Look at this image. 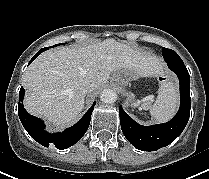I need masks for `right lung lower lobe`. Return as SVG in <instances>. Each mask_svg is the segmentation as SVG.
I'll use <instances>...</instances> for the list:
<instances>
[{"mask_svg":"<svg viewBox=\"0 0 209 179\" xmlns=\"http://www.w3.org/2000/svg\"><path fill=\"white\" fill-rule=\"evenodd\" d=\"M43 51H45L44 48L39 50L38 53L31 59L30 63ZM24 93L25 90L23 87H21L19 92L18 104L19 118L29 135L41 145L45 147H49V145H54L56 148L60 150L66 149L77 143L87 131L95 103H93L91 108L75 125L71 126L70 128H67L63 132L51 134L45 130V124L41 119L30 115L25 110L22 104Z\"/></svg>","mask_w":209,"mask_h":179,"instance_id":"1","label":"right lung lower lobe"}]
</instances>
